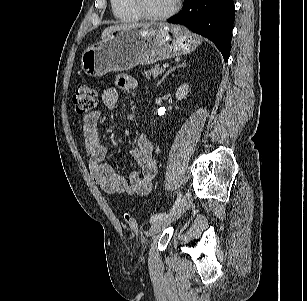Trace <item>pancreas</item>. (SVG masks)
<instances>
[{"label":"pancreas","instance_id":"obj_1","mask_svg":"<svg viewBox=\"0 0 307 301\" xmlns=\"http://www.w3.org/2000/svg\"><path fill=\"white\" fill-rule=\"evenodd\" d=\"M164 69L160 66L156 65L152 69L143 71V74L146 76V78L150 79L151 77L156 78L159 74L163 73Z\"/></svg>","mask_w":307,"mask_h":301}]
</instances>
